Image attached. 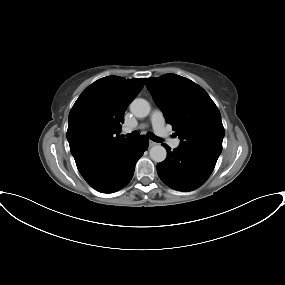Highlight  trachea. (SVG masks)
I'll return each mask as SVG.
<instances>
[{
	"label": "trachea",
	"mask_w": 285,
	"mask_h": 285,
	"mask_svg": "<svg viewBox=\"0 0 285 285\" xmlns=\"http://www.w3.org/2000/svg\"><path fill=\"white\" fill-rule=\"evenodd\" d=\"M148 137L152 140V141H154V142H162V140L159 138V137H157L156 135H154L152 132H149L148 134ZM139 136V132H137V131H134V132H132V133H128L127 135H126V137L128 138V139H135V138H137Z\"/></svg>",
	"instance_id": "3493384b"
}]
</instances>
